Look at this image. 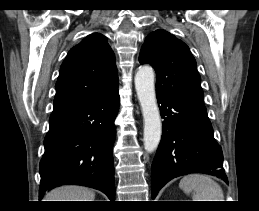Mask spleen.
<instances>
[{"label": "spleen", "mask_w": 259, "mask_h": 211, "mask_svg": "<svg viewBox=\"0 0 259 211\" xmlns=\"http://www.w3.org/2000/svg\"><path fill=\"white\" fill-rule=\"evenodd\" d=\"M179 186L187 194L193 192V201H224L222 188L208 175L189 174Z\"/></svg>", "instance_id": "spleen-1"}]
</instances>
